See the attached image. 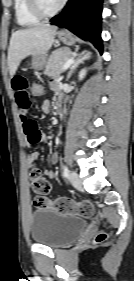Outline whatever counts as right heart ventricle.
<instances>
[{
	"mask_svg": "<svg viewBox=\"0 0 134 281\" xmlns=\"http://www.w3.org/2000/svg\"><path fill=\"white\" fill-rule=\"evenodd\" d=\"M14 13L18 25L31 27L37 25L41 18L36 16L28 5V0H14Z\"/></svg>",
	"mask_w": 134,
	"mask_h": 281,
	"instance_id": "obj_1",
	"label": "right heart ventricle"
}]
</instances>
